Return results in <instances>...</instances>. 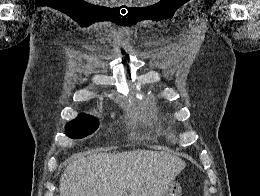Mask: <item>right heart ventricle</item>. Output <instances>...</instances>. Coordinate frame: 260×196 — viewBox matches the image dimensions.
Masks as SVG:
<instances>
[{
  "label": "right heart ventricle",
  "mask_w": 260,
  "mask_h": 196,
  "mask_svg": "<svg viewBox=\"0 0 260 196\" xmlns=\"http://www.w3.org/2000/svg\"><path fill=\"white\" fill-rule=\"evenodd\" d=\"M115 192H135L134 190H115ZM152 192V190H150Z\"/></svg>",
  "instance_id": "e07e8e85"
}]
</instances>
